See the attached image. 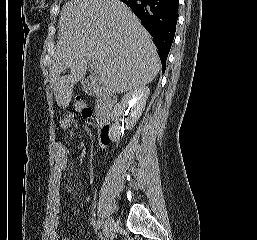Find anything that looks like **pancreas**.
I'll return each instance as SVG.
<instances>
[{
	"label": "pancreas",
	"instance_id": "1",
	"mask_svg": "<svg viewBox=\"0 0 257 240\" xmlns=\"http://www.w3.org/2000/svg\"><path fill=\"white\" fill-rule=\"evenodd\" d=\"M96 110L98 111V113L104 112L106 110V103L104 99L98 98L96 100Z\"/></svg>",
	"mask_w": 257,
	"mask_h": 240
}]
</instances>
